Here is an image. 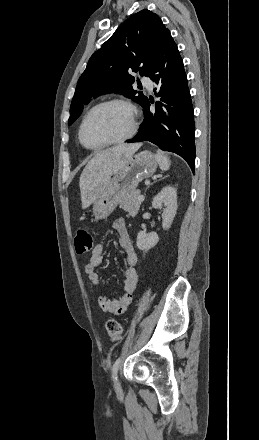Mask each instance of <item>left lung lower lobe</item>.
<instances>
[{"instance_id": "0a47b994", "label": "left lung lower lobe", "mask_w": 259, "mask_h": 440, "mask_svg": "<svg viewBox=\"0 0 259 440\" xmlns=\"http://www.w3.org/2000/svg\"><path fill=\"white\" fill-rule=\"evenodd\" d=\"M148 77L158 85L154 91L160 101L156 102L155 114L149 112L147 101L140 131L128 143L152 142L161 150L180 155L194 172L193 107L183 61L171 34L166 37Z\"/></svg>"}]
</instances>
